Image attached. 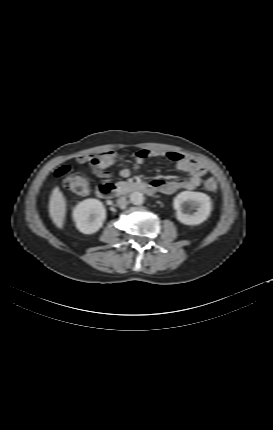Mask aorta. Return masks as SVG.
Returning a JSON list of instances; mask_svg holds the SVG:
<instances>
[{"mask_svg": "<svg viewBox=\"0 0 273 430\" xmlns=\"http://www.w3.org/2000/svg\"><path fill=\"white\" fill-rule=\"evenodd\" d=\"M144 200V195L141 192L136 191L130 194V201L134 205H142Z\"/></svg>", "mask_w": 273, "mask_h": 430, "instance_id": "aorta-1", "label": "aorta"}]
</instances>
